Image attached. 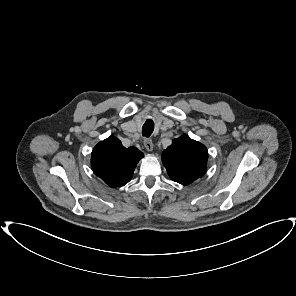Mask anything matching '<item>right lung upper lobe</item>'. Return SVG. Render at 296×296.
Wrapping results in <instances>:
<instances>
[{
    "label": "right lung upper lobe",
    "mask_w": 296,
    "mask_h": 296,
    "mask_svg": "<svg viewBox=\"0 0 296 296\" xmlns=\"http://www.w3.org/2000/svg\"><path fill=\"white\" fill-rule=\"evenodd\" d=\"M143 153L135 147L125 148L121 141L110 136L98 143L91 154L94 173L111 187L129 182Z\"/></svg>",
    "instance_id": "1"
}]
</instances>
